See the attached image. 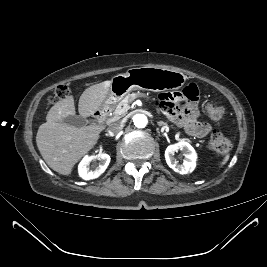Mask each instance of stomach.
I'll use <instances>...</instances> for the list:
<instances>
[{"mask_svg":"<svg viewBox=\"0 0 267 267\" xmlns=\"http://www.w3.org/2000/svg\"><path fill=\"white\" fill-rule=\"evenodd\" d=\"M186 80V75L175 70L157 67L131 68L126 73L112 78L109 92L101 107L105 109L116 104L133 90H177Z\"/></svg>","mask_w":267,"mask_h":267,"instance_id":"1","label":"stomach"}]
</instances>
